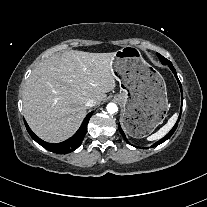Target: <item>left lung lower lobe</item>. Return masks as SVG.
<instances>
[{"mask_svg": "<svg viewBox=\"0 0 207 207\" xmlns=\"http://www.w3.org/2000/svg\"><path fill=\"white\" fill-rule=\"evenodd\" d=\"M163 64H168V65H169L170 69H171L172 72L174 73V75H175V77H176V79H177V81H178V83H179L180 90H181V94H182V86H181V83H180V81H179V79H178V77H177L176 70H175L174 67L172 66L171 62L168 61V62L163 63ZM182 98H183V94H182ZM181 111H182V107H181ZM181 111H180V115H181ZM179 119H180V116H179ZM179 119H178V121H179ZM178 121H177V123L174 125V127L171 129V131L168 133V135H166V136L163 137L160 141H158V142H156L155 144H153L151 147H155V146H157V145L163 143V142L166 141L167 139H169V138L172 136V134L175 132V130H176L177 126H178ZM119 131H120V133L122 134V136H123V138L125 139V141L129 144V142H128V140H127V138H126V136H125V134H124V132H123V130H122V128H121L120 125H119Z\"/></svg>", "mask_w": 207, "mask_h": 207, "instance_id": "left-lung-lower-lobe-1", "label": "left lung lower lobe"}]
</instances>
